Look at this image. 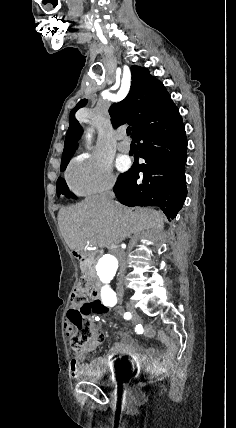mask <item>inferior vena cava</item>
<instances>
[{
    "mask_svg": "<svg viewBox=\"0 0 236 428\" xmlns=\"http://www.w3.org/2000/svg\"><path fill=\"white\" fill-rule=\"evenodd\" d=\"M114 186V182H111L108 190H112ZM106 198H108L107 202H110V206L111 208H113V202H112V198H115V194L114 192H108V194H105V200ZM111 242L109 243V246L111 247V251L109 252L110 254H114L117 257V260L120 261V263L118 264L120 266V281L116 283V286L118 287V296H123V286H124V281H122L124 278V273H125V268L127 267L126 261H125V253H124V249L121 248H117L120 237L117 234L112 235L111 237Z\"/></svg>",
    "mask_w": 236,
    "mask_h": 428,
    "instance_id": "inferior-vena-cava-1",
    "label": "inferior vena cava"
}]
</instances>
